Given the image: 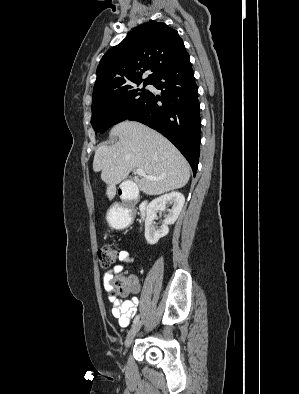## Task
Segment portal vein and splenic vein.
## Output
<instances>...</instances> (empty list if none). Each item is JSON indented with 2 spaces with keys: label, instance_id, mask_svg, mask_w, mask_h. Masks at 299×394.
I'll list each match as a JSON object with an SVG mask.
<instances>
[{
  "label": "portal vein and splenic vein",
  "instance_id": "obj_1",
  "mask_svg": "<svg viewBox=\"0 0 299 394\" xmlns=\"http://www.w3.org/2000/svg\"><path fill=\"white\" fill-rule=\"evenodd\" d=\"M136 174H137V175H140V176L147 177L148 179H155L154 177L147 176V175L145 174V172H144L142 169H140V168L136 169Z\"/></svg>",
  "mask_w": 299,
  "mask_h": 394
}]
</instances>
